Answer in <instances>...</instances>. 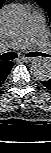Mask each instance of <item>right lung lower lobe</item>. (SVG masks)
<instances>
[{"instance_id": "right-lung-lower-lobe-1", "label": "right lung lower lobe", "mask_w": 51, "mask_h": 153, "mask_svg": "<svg viewBox=\"0 0 51 153\" xmlns=\"http://www.w3.org/2000/svg\"><path fill=\"white\" fill-rule=\"evenodd\" d=\"M13 65L14 64L12 62H7L6 66L0 70V85L2 82H4L7 75L10 73V70L12 69Z\"/></svg>"}]
</instances>
